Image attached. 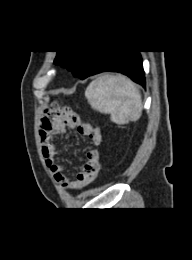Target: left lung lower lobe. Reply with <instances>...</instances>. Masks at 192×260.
I'll use <instances>...</instances> for the list:
<instances>
[{"mask_svg":"<svg viewBox=\"0 0 192 260\" xmlns=\"http://www.w3.org/2000/svg\"><path fill=\"white\" fill-rule=\"evenodd\" d=\"M105 71L120 72L145 87L142 58L138 51L100 50L90 61L81 79Z\"/></svg>","mask_w":192,"mask_h":260,"instance_id":"0a47b994","label":"left lung lower lobe"}]
</instances>
